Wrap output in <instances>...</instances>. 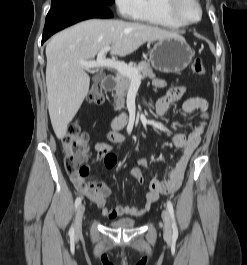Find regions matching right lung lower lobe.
<instances>
[{
  "label": "right lung lower lobe",
  "instance_id": "obj_1",
  "mask_svg": "<svg viewBox=\"0 0 247 265\" xmlns=\"http://www.w3.org/2000/svg\"><path fill=\"white\" fill-rule=\"evenodd\" d=\"M107 6L93 4H71L51 8L45 22L42 44L54 33L72 24L90 18H110Z\"/></svg>",
  "mask_w": 247,
  "mask_h": 265
}]
</instances>
